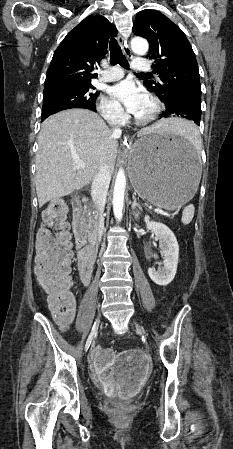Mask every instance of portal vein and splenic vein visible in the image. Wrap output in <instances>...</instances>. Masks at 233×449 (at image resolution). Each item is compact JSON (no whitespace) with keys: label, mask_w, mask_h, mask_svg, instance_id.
<instances>
[{"label":"portal vein and splenic vein","mask_w":233,"mask_h":449,"mask_svg":"<svg viewBox=\"0 0 233 449\" xmlns=\"http://www.w3.org/2000/svg\"><path fill=\"white\" fill-rule=\"evenodd\" d=\"M75 168L76 169H83V168H85V164L82 161H80V160H76L75 161ZM154 211L156 213H158V214L168 216V212L167 211L161 210L159 208H155Z\"/></svg>","instance_id":"18ae733b"}]
</instances>
